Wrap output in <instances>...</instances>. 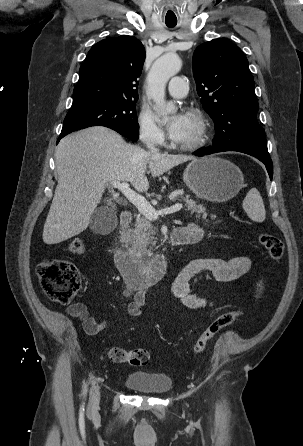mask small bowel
<instances>
[{
    "label": "small bowel",
    "instance_id": "small-bowel-1",
    "mask_svg": "<svg viewBox=\"0 0 303 446\" xmlns=\"http://www.w3.org/2000/svg\"><path fill=\"white\" fill-rule=\"evenodd\" d=\"M192 239V243L200 241L203 229L196 224H189L182 228ZM251 266L250 259L244 256L228 260L218 258H201L190 261L175 277L171 289L173 295L187 308L203 310L212 306V302L199 296L193 291L192 285L198 278L210 275L220 282L242 281L248 274ZM262 282L257 284V295L262 290ZM148 287L134 291L128 288L126 295H133V301L128 305L127 313L131 318L140 316L145 304ZM66 313L82 323L84 332L88 335H97L107 326L106 320H97L89 313L87 305L74 303L66 308Z\"/></svg>",
    "mask_w": 303,
    "mask_h": 446
}]
</instances>
